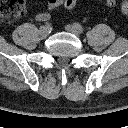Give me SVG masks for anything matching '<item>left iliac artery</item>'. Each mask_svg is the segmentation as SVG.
I'll use <instances>...</instances> for the list:
<instances>
[{"label": "left iliac artery", "instance_id": "1", "mask_svg": "<svg viewBox=\"0 0 128 128\" xmlns=\"http://www.w3.org/2000/svg\"><path fill=\"white\" fill-rule=\"evenodd\" d=\"M74 27L78 30L79 33H83L84 29L79 23H74Z\"/></svg>", "mask_w": 128, "mask_h": 128}]
</instances>
